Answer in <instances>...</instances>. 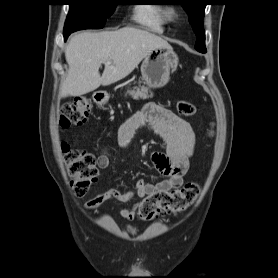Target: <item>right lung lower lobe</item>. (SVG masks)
<instances>
[{
	"mask_svg": "<svg viewBox=\"0 0 278 278\" xmlns=\"http://www.w3.org/2000/svg\"><path fill=\"white\" fill-rule=\"evenodd\" d=\"M69 34H64V39L66 40L68 38Z\"/></svg>",
	"mask_w": 278,
	"mask_h": 278,
	"instance_id": "98d812e1",
	"label": "right lung lower lobe"
}]
</instances>
